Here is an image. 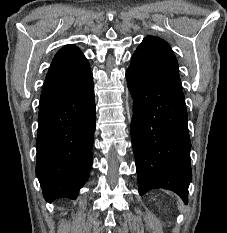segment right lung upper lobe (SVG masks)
Instances as JSON below:
<instances>
[{
  "instance_id": "cb5924a9",
  "label": "right lung upper lobe",
  "mask_w": 227,
  "mask_h": 233,
  "mask_svg": "<svg viewBox=\"0 0 227 233\" xmlns=\"http://www.w3.org/2000/svg\"><path fill=\"white\" fill-rule=\"evenodd\" d=\"M91 80L92 73L83 53L75 45L64 46L56 53L50 65L39 109L70 95Z\"/></svg>"
}]
</instances>
